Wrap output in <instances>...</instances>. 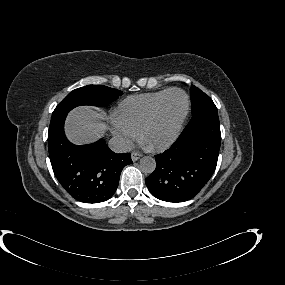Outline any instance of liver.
<instances>
[{"mask_svg": "<svg viewBox=\"0 0 285 285\" xmlns=\"http://www.w3.org/2000/svg\"><path fill=\"white\" fill-rule=\"evenodd\" d=\"M105 113L97 108L78 107L66 119L65 131L68 139L75 144L91 143L100 138L106 130L102 120Z\"/></svg>", "mask_w": 285, "mask_h": 285, "instance_id": "6515ba94", "label": "liver"}]
</instances>
